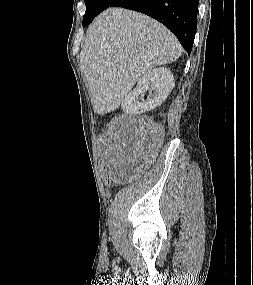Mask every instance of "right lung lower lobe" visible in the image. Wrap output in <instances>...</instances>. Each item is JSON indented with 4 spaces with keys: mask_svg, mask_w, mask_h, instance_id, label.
<instances>
[{
    "mask_svg": "<svg viewBox=\"0 0 253 285\" xmlns=\"http://www.w3.org/2000/svg\"><path fill=\"white\" fill-rule=\"evenodd\" d=\"M199 0H115L109 7H124L147 14L163 23L190 55Z\"/></svg>",
    "mask_w": 253,
    "mask_h": 285,
    "instance_id": "right-lung-lower-lobe-1",
    "label": "right lung lower lobe"
}]
</instances>
